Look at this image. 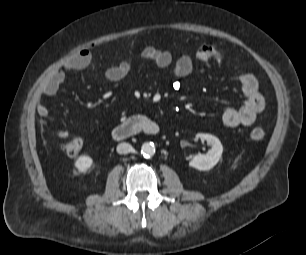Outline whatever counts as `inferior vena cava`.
I'll list each match as a JSON object with an SVG mask.
<instances>
[{
    "mask_svg": "<svg viewBox=\"0 0 306 255\" xmlns=\"http://www.w3.org/2000/svg\"><path fill=\"white\" fill-rule=\"evenodd\" d=\"M133 151V147L128 143H120L117 145V152L119 154H127Z\"/></svg>",
    "mask_w": 306,
    "mask_h": 255,
    "instance_id": "obj_1",
    "label": "inferior vena cava"
}]
</instances>
